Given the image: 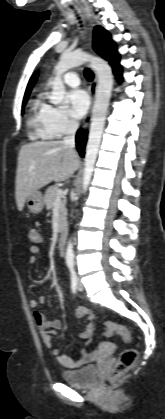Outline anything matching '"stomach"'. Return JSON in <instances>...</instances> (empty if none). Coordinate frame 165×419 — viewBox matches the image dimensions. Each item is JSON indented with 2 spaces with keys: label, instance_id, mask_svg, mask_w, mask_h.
<instances>
[{
  "label": "stomach",
  "instance_id": "stomach-1",
  "mask_svg": "<svg viewBox=\"0 0 165 419\" xmlns=\"http://www.w3.org/2000/svg\"><path fill=\"white\" fill-rule=\"evenodd\" d=\"M27 208L31 213H40L44 208V198L41 192L36 191L26 199Z\"/></svg>",
  "mask_w": 165,
  "mask_h": 419
}]
</instances>
